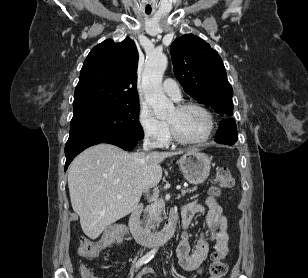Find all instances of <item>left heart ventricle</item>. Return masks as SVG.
Returning <instances> with one entry per match:
<instances>
[{
    "mask_svg": "<svg viewBox=\"0 0 308 278\" xmlns=\"http://www.w3.org/2000/svg\"><path fill=\"white\" fill-rule=\"evenodd\" d=\"M180 134L190 139L203 137L208 130V119L206 115L195 108L178 110L173 108L166 117Z\"/></svg>",
    "mask_w": 308,
    "mask_h": 278,
    "instance_id": "obj_1",
    "label": "left heart ventricle"
}]
</instances>
